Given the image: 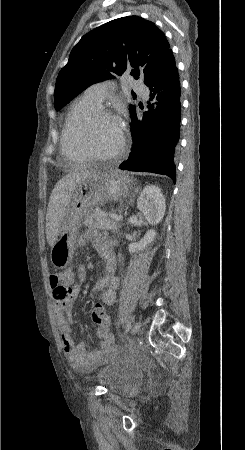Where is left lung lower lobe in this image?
Listing matches in <instances>:
<instances>
[{
    "label": "left lung lower lobe",
    "mask_w": 245,
    "mask_h": 450,
    "mask_svg": "<svg viewBox=\"0 0 245 450\" xmlns=\"http://www.w3.org/2000/svg\"><path fill=\"white\" fill-rule=\"evenodd\" d=\"M145 85L150 89L149 111L131 115L132 151L121 170L153 172L176 181L175 148L180 135L181 88L174 56Z\"/></svg>",
    "instance_id": "1"
}]
</instances>
